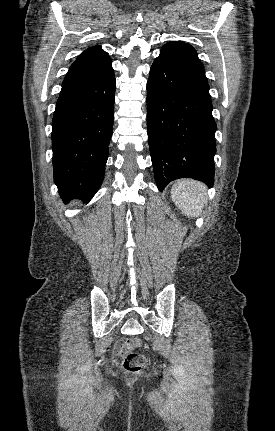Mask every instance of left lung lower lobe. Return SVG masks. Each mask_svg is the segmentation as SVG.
<instances>
[{
  "label": "left lung lower lobe",
  "mask_w": 275,
  "mask_h": 431,
  "mask_svg": "<svg viewBox=\"0 0 275 431\" xmlns=\"http://www.w3.org/2000/svg\"><path fill=\"white\" fill-rule=\"evenodd\" d=\"M205 72L182 49L164 45L147 82V129L157 187L178 178L212 186L216 123Z\"/></svg>",
  "instance_id": "1"
}]
</instances>
